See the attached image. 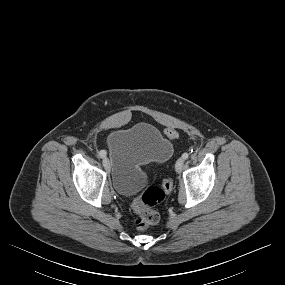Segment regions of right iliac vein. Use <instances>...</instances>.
Returning <instances> with one entry per match:
<instances>
[{"mask_svg": "<svg viewBox=\"0 0 285 285\" xmlns=\"http://www.w3.org/2000/svg\"><path fill=\"white\" fill-rule=\"evenodd\" d=\"M103 166L105 169H108V167H109V160L107 157L103 158Z\"/></svg>", "mask_w": 285, "mask_h": 285, "instance_id": "63e3f726", "label": "right iliac vein"}]
</instances>
